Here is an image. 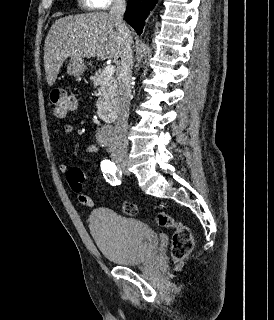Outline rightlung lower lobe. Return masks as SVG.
Segmentation results:
<instances>
[{
    "mask_svg": "<svg viewBox=\"0 0 274 320\" xmlns=\"http://www.w3.org/2000/svg\"><path fill=\"white\" fill-rule=\"evenodd\" d=\"M156 2L157 0H128L124 19L139 35L142 33L144 20Z\"/></svg>",
    "mask_w": 274,
    "mask_h": 320,
    "instance_id": "98d812e1",
    "label": "right lung lower lobe"
}]
</instances>
